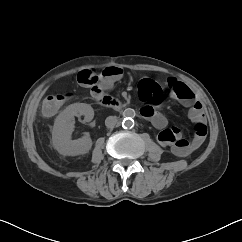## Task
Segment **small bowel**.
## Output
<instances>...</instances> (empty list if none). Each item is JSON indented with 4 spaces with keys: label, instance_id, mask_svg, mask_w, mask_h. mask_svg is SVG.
I'll list each match as a JSON object with an SVG mask.
<instances>
[{
    "label": "small bowel",
    "instance_id": "c3829d8e",
    "mask_svg": "<svg viewBox=\"0 0 242 242\" xmlns=\"http://www.w3.org/2000/svg\"><path fill=\"white\" fill-rule=\"evenodd\" d=\"M122 76L123 70L120 67H106L101 73L96 86L92 87L93 95H101L104 91L111 89L114 84L122 78ZM178 85H181L185 88L187 92L186 96H178L176 90V86ZM167 87L169 89L170 97L180 100L184 106L189 108V118L195 126L199 125L204 127L206 129L205 134L201 135L198 131H195L191 140L185 139L178 128L169 127L167 119L160 112H158L154 106L149 104L144 105L141 108L140 113L145 119L149 120L156 129H158L159 132L157 139L161 145L173 146L174 152L177 155L187 156L201 146L207 134L203 106L199 101L196 100L195 94L185 83L175 78H169L167 80ZM139 97L144 102L152 99L151 97L144 96L140 91Z\"/></svg>",
    "mask_w": 242,
    "mask_h": 242
}]
</instances>
